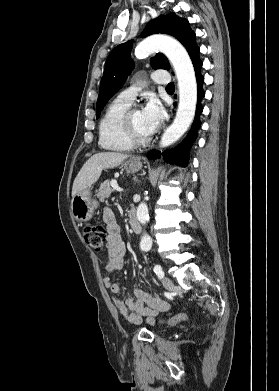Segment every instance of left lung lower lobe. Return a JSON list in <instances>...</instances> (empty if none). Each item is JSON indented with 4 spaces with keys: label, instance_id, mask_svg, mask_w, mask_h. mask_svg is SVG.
I'll use <instances>...</instances> for the list:
<instances>
[{
    "label": "left lung lower lobe",
    "instance_id": "1",
    "mask_svg": "<svg viewBox=\"0 0 279 391\" xmlns=\"http://www.w3.org/2000/svg\"><path fill=\"white\" fill-rule=\"evenodd\" d=\"M199 47L194 51V53L190 56L191 60L194 65L195 73H196V79H197V87H198V98H197V108H196V114L194 118V122L192 124L191 130L189 131L186 138L182 141L180 145H178L176 148L166 151L163 153L164 159L166 162L174 163L179 166L185 167L188 163V154L189 149L192 145V143L195 141L198 133L197 130L201 126V122L199 119L200 114L203 111V107L201 105V100L205 96V92L203 91L202 85L204 82V77L200 73V69L202 67V62L199 59ZM160 152H157L156 150H152L148 152L147 157L149 159H155L160 157Z\"/></svg>",
    "mask_w": 279,
    "mask_h": 391
}]
</instances>
